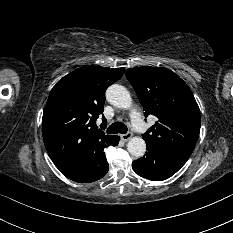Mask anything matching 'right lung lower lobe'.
<instances>
[{"instance_id": "obj_1", "label": "right lung lower lobe", "mask_w": 233, "mask_h": 233, "mask_svg": "<svg viewBox=\"0 0 233 233\" xmlns=\"http://www.w3.org/2000/svg\"><path fill=\"white\" fill-rule=\"evenodd\" d=\"M118 143L119 137L116 136L111 146H117ZM103 151L96 152L93 156L83 157L56 166L66 177L73 181L79 183L94 182L104 177L108 172V163Z\"/></svg>"}]
</instances>
